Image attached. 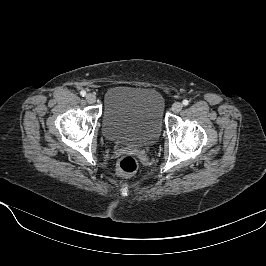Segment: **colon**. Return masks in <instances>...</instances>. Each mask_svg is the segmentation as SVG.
Returning <instances> with one entry per match:
<instances>
[{
    "label": "colon",
    "instance_id": "colon-1",
    "mask_svg": "<svg viewBox=\"0 0 266 266\" xmlns=\"http://www.w3.org/2000/svg\"><path fill=\"white\" fill-rule=\"evenodd\" d=\"M139 167L136 155L129 153L123 155L117 162L116 171L119 176L128 177L133 175Z\"/></svg>",
    "mask_w": 266,
    "mask_h": 266
}]
</instances>
